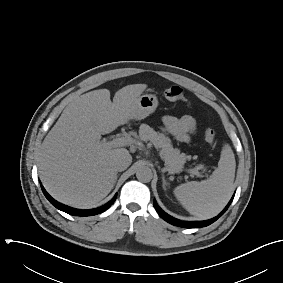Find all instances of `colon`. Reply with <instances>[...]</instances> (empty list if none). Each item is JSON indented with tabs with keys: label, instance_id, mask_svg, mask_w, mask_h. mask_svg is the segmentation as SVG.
<instances>
[{
	"label": "colon",
	"instance_id": "obj_1",
	"mask_svg": "<svg viewBox=\"0 0 283 283\" xmlns=\"http://www.w3.org/2000/svg\"><path fill=\"white\" fill-rule=\"evenodd\" d=\"M163 96L167 100H184V93L182 89L178 86H172L170 88L165 89L163 91ZM204 139L208 144L214 145L216 143L215 131L210 128H207L204 132Z\"/></svg>",
	"mask_w": 283,
	"mask_h": 283
}]
</instances>
